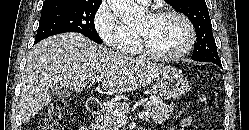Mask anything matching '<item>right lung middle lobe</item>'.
Here are the masks:
<instances>
[{"label":"right lung middle lobe","mask_w":249,"mask_h":130,"mask_svg":"<svg viewBox=\"0 0 249 130\" xmlns=\"http://www.w3.org/2000/svg\"><path fill=\"white\" fill-rule=\"evenodd\" d=\"M100 4L101 2L76 0H60L44 4L34 43L65 32H78L98 44L103 43L94 26L95 14Z\"/></svg>","instance_id":"1"}]
</instances>
